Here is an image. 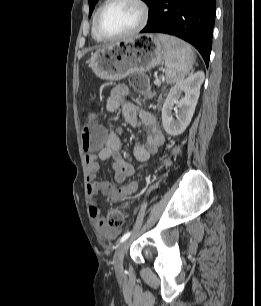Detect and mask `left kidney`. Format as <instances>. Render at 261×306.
Listing matches in <instances>:
<instances>
[{
	"instance_id": "1",
	"label": "left kidney",
	"mask_w": 261,
	"mask_h": 306,
	"mask_svg": "<svg viewBox=\"0 0 261 306\" xmlns=\"http://www.w3.org/2000/svg\"><path fill=\"white\" fill-rule=\"evenodd\" d=\"M204 79V73L198 71L171 88L162 107V123L167 134L180 135L190 124ZM175 107L178 110L174 118L172 110Z\"/></svg>"
}]
</instances>
